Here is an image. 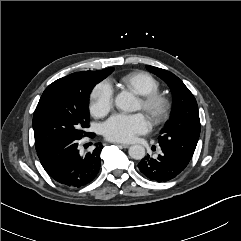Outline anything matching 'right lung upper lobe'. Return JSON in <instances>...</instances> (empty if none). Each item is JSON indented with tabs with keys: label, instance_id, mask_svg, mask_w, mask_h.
I'll list each match as a JSON object with an SVG mask.
<instances>
[{
	"label": "right lung upper lobe",
	"instance_id": "1",
	"mask_svg": "<svg viewBox=\"0 0 241 241\" xmlns=\"http://www.w3.org/2000/svg\"><path fill=\"white\" fill-rule=\"evenodd\" d=\"M112 71H113V68H107V69L100 70V71H83V72L73 73L64 78H70V77L77 76V75H88V76L105 77L106 78Z\"/></svg>",
	"mask_w": 241,
	"mask_h": 241
}]
</instances>
